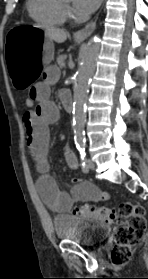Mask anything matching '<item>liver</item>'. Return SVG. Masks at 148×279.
Returning <instances> with one entry per match:
<instances>
[{"instance_id": "1", "label": "liver", "mask_w": 148, "mask_h": 279, "mask_svg": "<svg viewBox=\"0 0 148 279\" xmlns=\"http://www.w3.org/2000/svg\"><path fill=\"white\" fill-rule=\"evenodd\" d=\"M34 27L43 29L46 36L57 43H63L67 39V33L63 29L41 25H34Z\"/></svg>"}]
</instances>
